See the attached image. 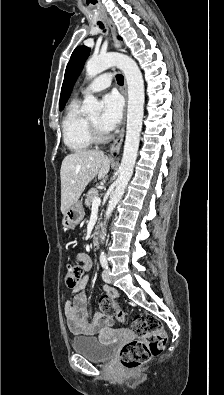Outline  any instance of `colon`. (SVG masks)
I'll return each mask as SVG.
<instances>
[{
	"instance_id": "colon-1",
	"label": "colon",
	"mask_w": 224,
	"mask_h": 395,
	"mask_svg": "<svg viewBox=\"0 0 224 395\" xmlns=\"http://www.w3.org/2000/svg\"><path fill=\"white\" fill-rule=\"evenodd\" d=\"M81 277V269L77 265L67 268V281L75 286ZM99 307L102 313L113 316L119 322H125V314L116 301L110 296L100 298ZM132 330L136 338L126 343L119 351V361L123 368L134 369L146 363L151 357L159 355L165 348L167 335L161 322L148 313L137 315L132 322Z\"/></svg>"
}]
</instances>
